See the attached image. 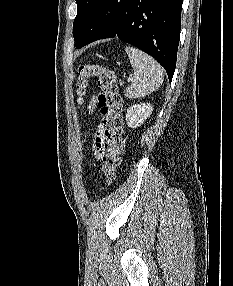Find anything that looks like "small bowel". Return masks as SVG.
Here are the masks:
<instances>
[{
    "label": "small bowel",
    "instance_id": "1",
    "mask_svg": "<svg viewBox=\"0 0 233 286\" xmlns=\"http://www.w3.org/2000/svg\"><path fill=\"white\" fill-rule=\"evenodd\" d=\"M97 102V97L93 96L90 100L89 104V112H92L95 109ZM105 142V130L103 125H99L94 133V143H93V151L96 158L101 159L105 155L104 149Z\"/></svg>",
    "mask_w": 233,
    "mask_h": 286
}]
</instances>
